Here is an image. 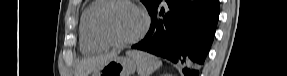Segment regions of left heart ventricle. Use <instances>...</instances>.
<instances>
[{"instance_id": "b2bd125f", "label": "left heart ventricle", "mask_w": 287, "mask_h": 76, "mask_svg": "<svg viewBox=\"0 0 287 76\" xmlns=\"http://www.w3.org/2000/svg\"><path fill=\"white\" fill-rule=\"evenodd\" d=\"M142 25V15L135 8L122 3L110 6L100 19L102 32L112 40L132 38Z\"/></svg>"}]
</instances>
